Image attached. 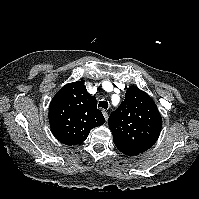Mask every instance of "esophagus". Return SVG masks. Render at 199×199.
Returning a JSON list of instances; mask_svg holds the SVG:
<instances>
[{"label": "esophagus", "mask_w": 199, "mask_h": 199, "mask_svg": "<svg viewBox=\"0 0 199 199\" xmlns=\"http://www.w3.org/2000/svg\"><path fill=\"white\" fill-rule=\"evenodd\" d=\"M103 115H104L105 120H107L108 119V113L105 110L103 111Z\"/></svg>", "instance_id": "obj_1"}]
</instances>
